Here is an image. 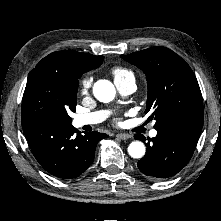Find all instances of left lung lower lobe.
Listing matches in <instances>:
<instances>
[{"mask_svg": "<svg viewBox=\"0 0 221 221\" xmlns=\"http://www.w3.org/2000/svg\"><path fill=\"white\" fill-rule=\"evenodd\" d=\"M201 127L172 125L158 129L157 136L146 143L147 152L137 163L139 170L153 178L164 179L177 174L187 165L197 145ZM135 139L145 142L141 134Z\"/></svg>", "mask_w": 221, "mask_h": 221, "instance_id": "left-lung-lower-lobe-1", "label": "left lung lower lobe"}]
</instances>
